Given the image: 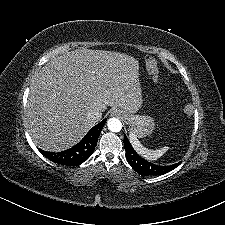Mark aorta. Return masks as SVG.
<instances>
[{
  "label": "aorta",
  "mask_w": 225,
  "mask_h": 225,
  "mask_svg": "<svg viewBox=\"0 0 225 225\" xmlns=\"http://www.w3.org/2000/svg\"><path fill=\"white\" fill-rule=\"evenodd\" d=\"M108 129L112 132H119L122 129V123L117 118H110L107 121Z\"/></svg>",
  "instance_id": "1"
}]
</instances>
